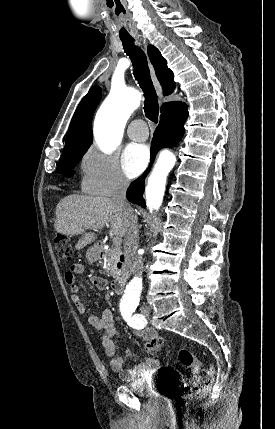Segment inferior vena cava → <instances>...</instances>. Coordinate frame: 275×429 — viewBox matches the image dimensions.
Wrapping results in <instances>:
<instances>
[{"label":"inferior vena cava","mask_w":275,"mask_h":429,"mask_svg":"<svg viewBox=\"0 0 275 429\" xmlns=\"http://www.w3.org/2000/svg\"><path fill=\"white\" fill-rule=\"evenodd\" d=\"M128 186L129 181L121 176L114 188L112 200L118 204L126 217L124 253L127 266L134 275L141 276L143 272V262L141 256L137 254L139 242L138 218L134 209L126 199Z\"/></svg>","instance_id":"inferior-vena-cava-1"}]
</instances>
